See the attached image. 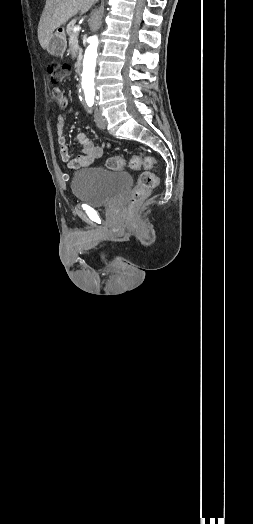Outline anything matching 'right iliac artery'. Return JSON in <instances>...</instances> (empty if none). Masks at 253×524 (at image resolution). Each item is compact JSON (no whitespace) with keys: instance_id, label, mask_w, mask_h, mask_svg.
Segmentation results:
<instances>
[{"instance_id":"right-iliac-artery-1","label":"right iliac artery","mask_w":253,"mask_h":524,"mask_svg":"<svg viewBox=\"0 0 253 524\" xmlns=\"http://www.w3.org/2000/svg\"><path fill=\"white\" fill-rule=\"evenodd\" d=\"M91 106L92 105L89 104L88 107L86 108L87 112L90 113V114L92 113V107Z\"/></svg>"}]
</instances>
